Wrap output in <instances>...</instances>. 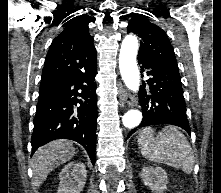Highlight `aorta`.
<instances>
[{
  "label": "aorta",
  "mask_w": 221,
  "mask_h": 193,
  "mask_svg": "<svg viewBox=\"0 0 221 193\" xmlns=\"http://www.w3.org/2000/svg\"><path fill=\"white\" fill-rule=\"evenodd\" d=\"M139 42L136 36L127 35L121 44L119 54V68L125 85L136 92L140 86V75L136 63ZM142 120V114L138 110H129L124 114L122 123L127 128L137 127Z\"/></svg>",
  "instance_id": "obj_1"
}]
</instances>
